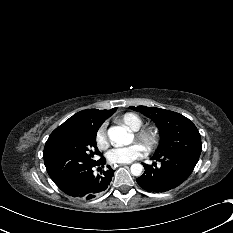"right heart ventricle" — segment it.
<instances>
[{
  "label": "right heart ventricle",
  "mask_w": 233,
  "mask_h": 233,
  "mask_svg": "<svg viewBox=\"0 0 233 233\" xmlns=\"http://www.w3.org/2000/svg\"><path fill=\"white\" fill-rule=\"evenodd\" d=\"M116 122L124 125L128 129L133 131V130L140 128L143 125L144 119L142 118V116H140L137 113L126 112V113L122 114L121 116H119L116 119Z\"/></svg>",
  "instance_id": "1"
}]
</instances>
